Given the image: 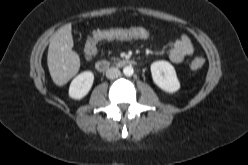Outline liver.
<instances>
[{
	"label": "liver",
	"instance_id": "6515ba94",
	"mask_svg": "<svg viewBox=\"0 0 248 165\" xmlns=\"http://www.w3.org/2000/svg\"><path fill=\"white\" fill-rule=\"evenodd\" d=\"M71 24L59 28L51 37L47 64L53 82L62 86L74 77L80 68V58L72 50L73 38Z\"/></svg>",
	"mask_w": 248,
	"mask_h": 165
}]
</instances>
